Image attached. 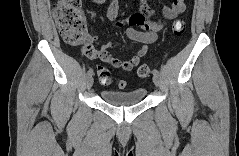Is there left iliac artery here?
<instances>
[{
  "mask_svg": "<svg viewBox=\"0 0 239 156\" xmlns=\"http://www.w3.org/2000/svg\"><path fill=\"white\" fill-rule=\"evenodd\" d=\"M153 75H159V71L157 69L152 70Z\"/></svg>",
  "mask_w": 239,
  "mask_h": 156,
  "instance_id": "obj_1",
  "label": "left iliac artery"
}]
</instances>
